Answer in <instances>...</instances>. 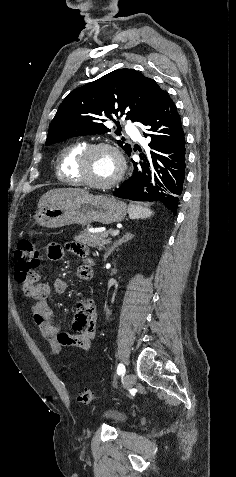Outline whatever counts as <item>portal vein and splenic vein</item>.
Segmentation results:
<instances>
[{
  "mask_svg": "<svg viewBox=\"0 0 236 477\" xmlns=\"http://www.w3.org/2000/svg\"><path fill=\"white\" fill-rule=\"evenodd\" d=\"M119 234V230H113L111 235L112 236H117Z\"/></svg>",
  "mask_w": 236,
  "mask_h": 477,
  "instance_id": "portal-vein-and-splenic-vein-1",
  "label": "portal vein and splenic vein"
}]
</instances>
